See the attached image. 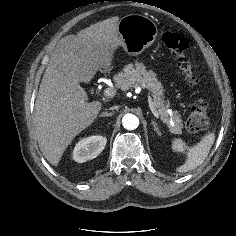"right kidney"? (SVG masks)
I'll use <instances>...</instances> for the list:
<instances>
[{
    "label": "right kidney",
    "instance_id": "right-kidney-1",
    "mask_svg": "<svg viewBox=\"0 0 236 236\" xmlns=\"http://www.w3.org/2000/svg\"><path fill=\"white\" fill-rule=\"evenodd\" d=\"M107 139L103 136H91L80 140L73 151V159L83 163L97 157L105 148Z\"/></svg>",
    "mask_w": 236,
    "mask_h": 236
}]
</instances>
